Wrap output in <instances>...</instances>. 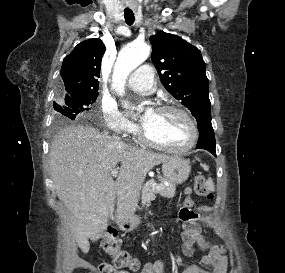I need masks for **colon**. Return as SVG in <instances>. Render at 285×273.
<instances>
[{"label": "colon", "instance_id": "5ec220e1", "mask_svg": "<svg viewBox=\"0 0 285 273\" xmlns=\"http://www.w3.org/2000/svg\"><path fill=\"white\" fill-rule=\"evenodd\" d=\"M195 192L204 198L213 199L214 194L210 184L203 176L195 179ZM182 207L178 209L180 221L184 231L181 239L186 255L192 254V247L196 243L199 233L202 232L200 223L197 222L199 214L196 212L195 201L191 196H184ZM105 252L113 258V263H102L99 265L100 273H118L119 269L136 270L139 263L134 259L130 252L123 248L122 242L118 237V232L114 229H108L106 237L102 241Z\"/></svg>", "mask_w": 285, "mask_h": 273}]
</instances>
